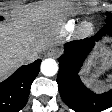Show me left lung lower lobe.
I'll use <instances>...</instances> for the list:
<instances>
[{"mask_svg": "<svg viewBox=\"0 0 112 112\" xmlns=\"http://www.w3.org/2000/svg\"><path fill=\"white\" fill-rule=\"evenodd\" d=\"M105 34L112 36V24H106L90 39L66 44L64 54L59 58V92L65 104L76 112H101L112 107V89L103 94H96L86 88L78 74L95 42Z\"/></svg>", "mask_w": 112, "mask_h": 112, "instance_id": "left-lung-lower-lobe-1", "label": "left lung lower lobe"}]
</instances>
